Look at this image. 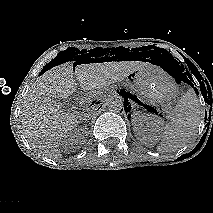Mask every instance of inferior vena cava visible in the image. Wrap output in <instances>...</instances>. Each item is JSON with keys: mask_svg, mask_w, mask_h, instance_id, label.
Wrapping results in <instances>:
<instances>
[{"mask_svg": "<svg viewBox=\"0 0 213 213\" xmlns=\"http://www.w3.org/2000/svg\"><path fill=\"white\" fill-rule=\"evenodd\" d=\"M82 115L84 119L91 118L96 115V111L93 108L86 106L82 111Z\"/></svg>", "mask_w": 213, "mask_h": 213, "instance_id": "obj_1", "label": "inferior vena cava"}]
</instances>
